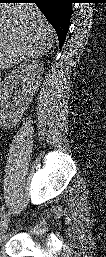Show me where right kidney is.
I'll use <instances>...</instances> for the list:
<instances>
[{
  "mask_svg": "<svg viewBox=\"0 0 106 257\" xmlns=\"http://www.w3.org/2000/svg\"><path fill=\"white\" fill-rule=\"evenodd\" d=\"M42 65L38 60H26L8 73L0 83V109L4 117L18 120L41 82ZM22 86L11 96L16 86ZM14 122V121H12Z\"/></svg>",
  "mask_w": 106,
  "mask_h": 257,
  "instance_id": "right-kidney-1",
  "label": "right kidney"
}]
</instances>
